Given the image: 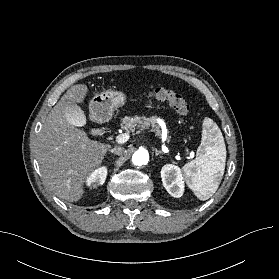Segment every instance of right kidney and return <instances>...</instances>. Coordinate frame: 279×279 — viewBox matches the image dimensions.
<instances>
[{
    "label": "right kidney",
    "mask_w": 279,
    "mask_h": 279,
    "mask_svg": "<svg viewBox=\"0 0 279 279\" xmlns=\"http://www.w3.org/2000/svg\"><path fill=\"white\" fill-rule=\"evenodd\" d=\"M107 176V168L105 166L95 169L89 176L86 178V183L91 188H97L99 185H103Z\"/></svg>",
    "instance_id": "obj_1"
}]
</instances>
